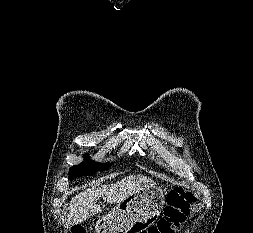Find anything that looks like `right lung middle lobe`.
<instances>
[{"label":"right lung middle lobe","instance_id":"obj_1","mask_svg":"<svg viewBox=\"0 0 253 233\" xmlns=\"http://www.w3.org/2000/svg\"><path fill=\"white\" fill-rule=\"evenodd\" d=\"M104 167L106 168L107 165H105ZM102 168L103 167H101L99 163L86 161L82 164L71 167L69 171V177L70 180H73L78 176L93 175L96 171Z\"/></svg>","mask_w":253,"mask_h":233}]
</instances>
